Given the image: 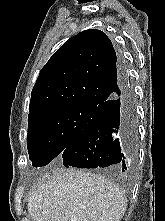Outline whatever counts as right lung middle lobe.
Instances as JSON below:
<instances>
[{
    "instance_id": "right-lung-middle-lobe-1",
    "label": "right lung middle lobe",
    "mask_w": 165,
    "mask_h": 221,
    "mask_svg": "<svg viewBox=\"0 0 165 221\" xmlns=\"http://www.w3.org/2000/svg\"><path fill=\"white\" fill-rule=\"evenodd\" d=\"M95 112L90 106H61L28 117L27 147L34 167L47 165L83 130Z\"/></svg>"
}]
</instances>
